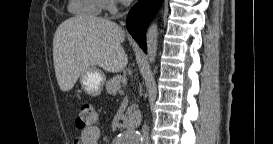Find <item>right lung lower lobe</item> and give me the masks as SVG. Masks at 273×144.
<instances>
[{"label": "right lung lower lobe", "mask_w": 273, "mask_h": 144, "mask_svg": "<svg viewBox=\"0 0 273 144\" xmlns=\"http://www.w3.org/2000/svg\"><path fill=\"white\" fill-rule=\"evenodd\" d=\"M163 0H139L127 16V28L139 46L146 52L145 32L150 20Z\"/></svg>", "instance_id": "1"}]
</instances>
